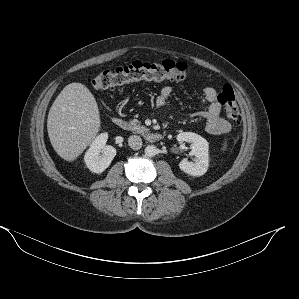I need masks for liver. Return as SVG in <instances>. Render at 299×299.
<instances>
[{"mask_svg": "<svg viewBox=\"0 0 299 299\" xmlns=\"http://www.w3.org/2000/svg\"><path fill=\"white\" fill-rule=\"evenodd\" d=\"M100 125L97 102L81 83H70L63 88L52 104L47 120L52 147L69 162L76 160L96 138Z\"/></svg>", "mask_w": 299, "mask_h": 299, "instance_id": "liver-1", "label": "liver"}]
</instances>
